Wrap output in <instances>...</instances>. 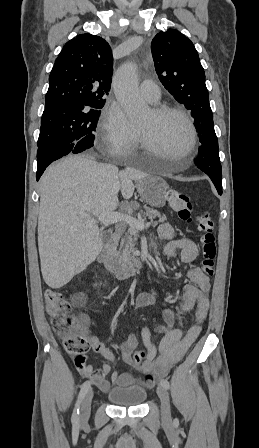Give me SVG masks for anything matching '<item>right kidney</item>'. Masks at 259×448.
Masks as SVG:
<instances>
[{"instance_id": "obj_1", "label": "right kidney", "mask_w": 259, "mask_h": 448, "mask_svg": "<svg viewBox=\"0 0 259 448\" xmlns=\"http://www.w3.org/2000/svg\"><path fill=\"white\" fill-rule=\"evenodd\" d=\"M86 302L87 296H85V294H74L72 298V304L73 306H76V308H84Z\"/></svg>"}]
</instances>
